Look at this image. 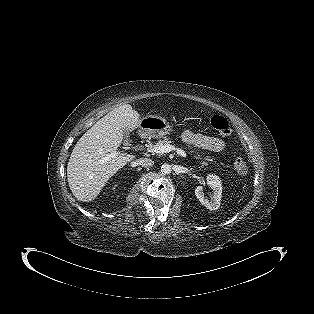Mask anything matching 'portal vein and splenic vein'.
Wrapping results in <instances>:
<instances>
[{
    "mask_svg": "<svg viewBox=\"0 0 314 314\" xmlns=\"http://www.w3.org/2000/svg\"><path fill=\"white\" fill-rule=\"evenodd\" d=\"M152 153H156V154H163V153H169L171 151H176L178 155L182 156V157H186V153L184 150L174 147L170 144H163L160 145L158 147H155L152 150H149ZM115 156V154H110L107 157L104 158L105 161L110 160L111 158H113Z\"/></svg>",
    "mask_w": 314,
    "mask_h": 314,
    "instance_id": "portal-vein-and-splenic-vein-1",
    "label": "portal vein and splenic vein"
}]
</instances>
